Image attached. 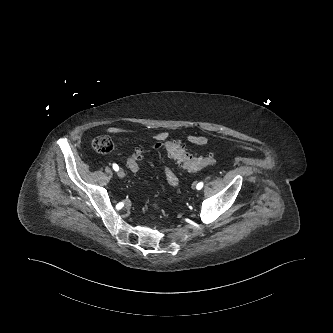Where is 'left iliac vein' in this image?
<instances>
[{"instance_id":"obj_1","label":"left iliac vein","mask_w":333,"mask_h":333,"mask_svg":"<svg viewBox=\"0 0 333 333\" xmlns=\"http://www.w3.org/2000/svg\"><path fill=\"white\" fill-rule=\"evenodd\" d=\"M195 186H196V183L194 182V183L192 184V188H195Z\"/></svg>"}]
</instances>
